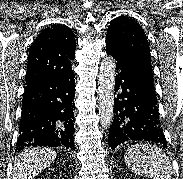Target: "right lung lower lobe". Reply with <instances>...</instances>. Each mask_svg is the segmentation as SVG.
Wrapping results in <instances>:
<instances>
[{"mask_svg":"<svg viewBox=\"0 0 183 179\" xmlns=\"http://www.w3.org/2000/svg\"><path fill=\"white\" fill-rule=\"evenodd\" d=\"M74 76L38 78L27 84L16 151L30 146H64L75 150L73 134Z\"/></svg>","mask_w":183,"mask_h":179,"instance_id":"obj_1","label":"right lung lower lobe"}]
</instances>
